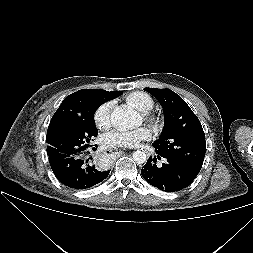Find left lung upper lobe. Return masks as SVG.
<instances>
[{
    "instance_id": "obj_1",
    "label": "left lung upper lobe",
    "mask_w": 253,
    "mask_h": 253,
    "mask_svg": "<svg viewBox=\"0 0 253 253\" xmlns=\"http://www.w3.org/2000/svg\"><path fill=\"white\" fill-rule=\"evenodd\" d=\"M162 105L164 127L153 143L158 155L173 159L198 175L205 157V134L188 104L170 89L144 88Z\"/></svg>"
}]
</instances>
